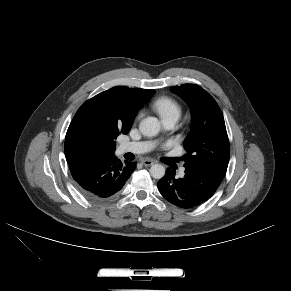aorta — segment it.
<instances>
[{"instance_id": "1", "label": "aorta", "mask_w": 291, "mask_h": 291, "mask_svg": "<svg viewBox=\"0 0 291 291\" xmlns=\"http://www.w3.org/2000/svg\"><path fill=\"white\" fill-rule=\"evenodd\" d=\"M161 128L160 122L155 117L144 118L139 124L140 132L147 137L155 136ZM165 167L161 164H154L150 168V174L155 179H161L165 175Z\"/></svg>"}]
</instances>
